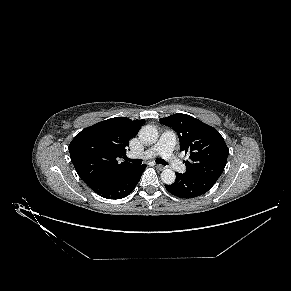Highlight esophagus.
<instances>
[{"label": "esophagus", "instance_id": "esophagus-1", "mask_svg": "<svg viewBox=\"0 0 291 291\" xmlns=\"http://www.w3.org/2000/svg\"><path fill=\"white\" fill-rule=\"evenodd\" d=\"M155 166H156V168H157L158 170H164V169H165V166L160 165V164H156Z\"/></svg>", "mask_w": 291, "mask_h": 291}]
</instances>
